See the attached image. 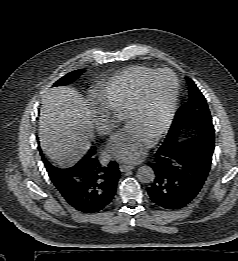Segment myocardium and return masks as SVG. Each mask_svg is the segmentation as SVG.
Returning <instances> with one entry per match:
<instances>
[{
    "instance_id": "obj_1",
    "label": "myocardium",
    "mask_w": 238,
    "mask_h": 261,
    "mask_svg": "<svg viewBox=\"0 0 238 261\" xmlns=\"http://www.w3.org/2000/svg\"><path fill=\"white\" fill-rule=\"evenodd\" d=\"M160 74H169L172 77L173 93H172V97H171V101H170V105H169L167 114H166L163 122L159 126V128L156 130V132L152 136V138L154 140L159 139L168 130V128L170 127V125L174 119L175 113H176L178 100H179V88L180 87H179L178 77L172 70H170L168 68L156 69V70H153L151 73H149L147 76H145L142 79V81L140 82V84L138 85L134 99L125 114V117L127 119L130 115L137 112L141 108L147 84L154 77H156L157 75H160Z\"/></svg>"
}]
</instances>
